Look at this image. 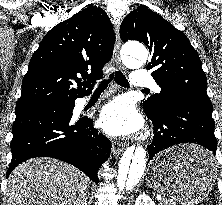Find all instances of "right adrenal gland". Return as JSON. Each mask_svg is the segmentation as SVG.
Segmentation results:
<instances>
[{
	"mask_svg": "<svg viewBox=\"0 0 222 205\" xmlns=\"http://www.w3.org/2000/svg\"><path fill=\"white\" fill-rule=\"evenodd\" d=\"M87 199H88V198H87V196H86L83 205H87Z\"/></svg>",
	"mask_w": 222,
	"mask_h": 205,
	"instance_id": "1",
	"label": "right adrenal gland"
}]
</instances>
